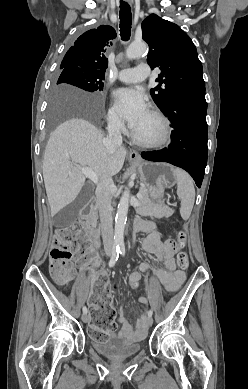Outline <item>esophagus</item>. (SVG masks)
I'll return each mask as SVG.
<instances>
[{
    "label": "esophagus",
    "instance_id": "esophagus-1",
    "mask_svg": "<svg viewBox=\"0 0 248 389\" xmlns=\"http://www.w3.org/2000/svg\"><path fill=\"white\" fill-rule=\"evenodd\" d=\"M129 159L132 160V161H138V160H140V155H139V153L136 150L130 149V151H129Z\"/></svg>",
    "mask_w": 248,
    "mask_h": 389
}]
</instances>
